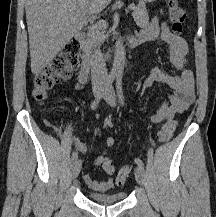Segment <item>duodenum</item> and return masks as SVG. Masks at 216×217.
<instances>
[{
	"label": "duodenum",
	"mask_w": 216,
	"mask_h": 217,
	"mask_svg": "<svg viewBox=\"0 0 216 217\" xmlns=\"http://www.w3.org/2000/svg\"><path fill=\"white\" fill-rule=\"evenodd\" d=\"M75 37L82 46L81 68L79 72L82 74H88L91 68L95 65L94 55L87 43L86 33L83 30L77 31ZM141 42H143V39L140 35L131 36L125 39L124 46L130 48Z\"/></svg>",
	"instance_id": "duodenum-1"
}]
</instances>
